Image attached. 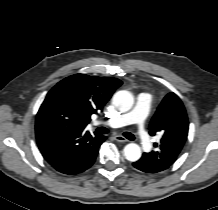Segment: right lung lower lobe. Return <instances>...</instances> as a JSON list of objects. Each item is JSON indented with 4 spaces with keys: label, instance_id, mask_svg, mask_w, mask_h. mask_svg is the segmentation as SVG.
<instances>
[{
    "label": "right lung lower lobe",
    "instance_id": "98d812e1",
    "mask_svg": "<svg viewBox=\"0 0 218 210\" xmlns=\"http://www.w3.org/2000/svg\"><path fill=\"white\" fill-rule=\"evenodd\" d=\"M36 140L45 160L58 172L81 173L92 166L105 137L56 124H36Z\"/></svg>",
    "mask_w": 218,
    "mask_h": 210
}]
</instances>
